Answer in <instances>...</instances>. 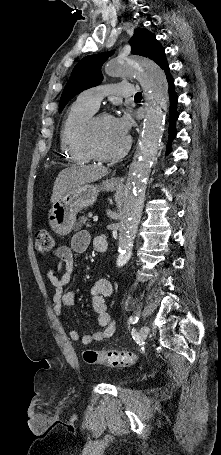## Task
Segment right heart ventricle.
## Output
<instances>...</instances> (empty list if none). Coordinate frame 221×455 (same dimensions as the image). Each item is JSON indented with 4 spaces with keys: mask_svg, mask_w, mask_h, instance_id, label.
Wrapping results in <instances>:
<instances>
[{
    "mask_svg": "<svg viewBox=\"0 0 221 455\" xmlns=\"http://www.w3.org/2000/svg\"><path fill=\"white\" fill-rule=\"evenodd\" d=\"M96 110L80 97L70 106L60 130V147L63 156L72 164H84L91 160L83 143L85 124Z\"/></svg>",
    "mask_w": 221,
    "mask_h": 455,
    "instance_id": "e07e8e85",
    "label": "right heart ventricle"
}]
</instances>
